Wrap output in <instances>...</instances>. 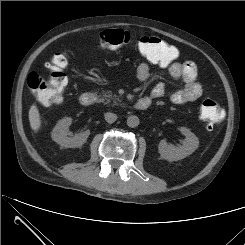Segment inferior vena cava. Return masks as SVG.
Wrapping results in <instances>:
<instances>
[{"instance_id": "inferior-vena-cava-1", "label": "inferior vena cava", "mask_w": 245, "mask_h": 245, "mask_svg": "<svg viewBox=\"0 0 245 245\" xmlns=\"http://www.w3.org/2000/svg\"><path fill=\"white\" fill-rule=\"evenodd\" d=\"M104 116H105V120L110 124L114 123L117 120V115L111 112L105 113Z\"/></svg>"}]
</instances>
